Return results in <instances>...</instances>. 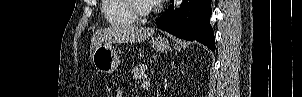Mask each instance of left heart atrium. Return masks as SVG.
Returning a JSON list of instances; mask_svg holds the SVG:
<instances>
[{"mask_svg":"<svg viewBox=\"0 0 302 97\" xmlns=\"http://www.w3.org/2000/svg\"><path fill=\"white\" fill-rule=\"evenodd\" d=\"M162 0H147L149 4H159Z\"/></svg>","mask_w":302,"mask_h":97,"instance_id":"left-heart-atrium-1","label":"left heart atrium"}]
</instances>
